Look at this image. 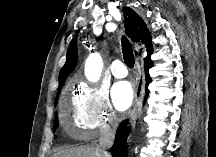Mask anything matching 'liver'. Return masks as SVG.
Segmentation results:
<instances>
[{"label": "liver", "instance_id": "1", "mask_svg": "<svg viewBox=\"0 0 216 157\" xmlns=\"http://www.w3.org/2000/svg\"><path fill=\"white\" fill-rule=\"evenodd\" d=\"M53 157H104L103 153L95 147L82 146L77 148L61 150Z\"/></svg>", "mask_w": 216, "mask_h": 157}]
</instances>
